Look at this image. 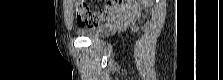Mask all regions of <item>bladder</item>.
<instances>
[{
	"label": "bladder",
	"mask_w": 223,
	"mask_h": 80,
	"mask_svg": "<svg viewBox=\"0 0 223 80\" xmlns=\"http://www.w3.org/2000/svg\"><path fill=\"white\" fill-rule=\"evenodd\" d=\"M107 28L105 24H99L91 27H83L77 29V34L91 39L101 36Z\"/></svg>",
	"instance_id": "1"
}]
</instances>
